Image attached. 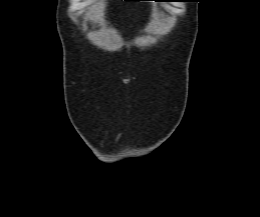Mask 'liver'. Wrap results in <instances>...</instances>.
I'll return each mask as SVG.
<instances>
[{
    "label": "liver",
    "mask_w": 260,
    "mask_h": 217,
    "mask_svg": "<svg viewBox=\"0 0 260 217\" xmlns=\"http://www.w3.org/2000/svg\"><path fill=\"white\" fill-rule=\"evenodd\" d=\"M93 8H96V10H97V20L100 21L102 15H103V13H102V8H103L102 4L101 3L96 4V5L93 6Z\"/></svg>",
    "instance_id": "obj_1"
}]
</instances>
